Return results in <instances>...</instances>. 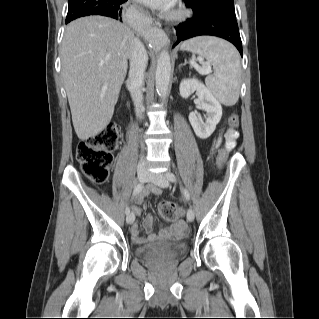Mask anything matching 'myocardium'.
<instances>
[{
    "label": "myocardium",
    "mask_w": 319,
    "mask_h": 319,
    "mask_svg": "<svg viewBox=\"0 0 319 319\" xmlns=\"http://www.w3.org/2000/svg\"><path fill=\"white\" fill-rule=\"evenodd\" d=\"M185 15H186V12L184 8H182L181 6H177L169 13L168 17L171 20H178L183 18Z\"/></svg>",
    "instance_id": "f54148a6"
}]
</instances>
